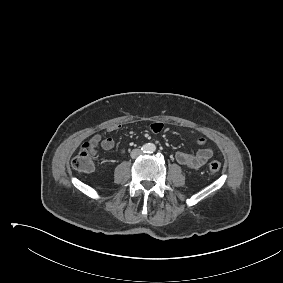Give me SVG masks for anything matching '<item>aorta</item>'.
<instances>
[{
  "mask_svg": "<svg viewBox=\"0 0 283 283\" xmlns=\"http://www.w3.org/2000/svg\"><path fill=\"white\" fill-rule=\"evenodd\" d=\"M154 149H155V148H154V145H153V144H150L148 150H149V151H153Z\"/></svg>",
  "mask_w": 283,
  "mask_h": 283,
  "instance_id": "obj_1",
  "label": "aorta"
}]
</instances>
